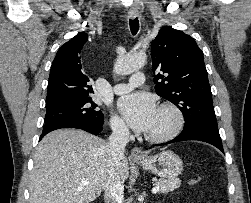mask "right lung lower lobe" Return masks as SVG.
I'll list each match as a JSON object with an SVG mask.
<instances>
[{
	"label": "right lung lower lobe",
	"mask_w": 251,
	"mask_h": 203,
	"mask_svg": "<svg viewBox=\"0 0 251 203\" xmlns=\"http://www.w3.org/2000/svg\"><path fill=\"white\" fill-rule=\"evenodd\" d=\"M61 128H77L92 134H98L102 131L103 125L81 117L61 118L46 122L40 139H42L49 132Z\"/></svg>",
	"instance_id": "1"
}]
</instances>
